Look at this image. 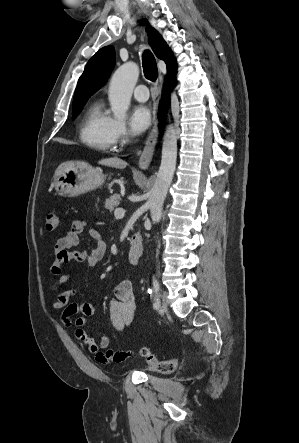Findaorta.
<instances>
[{"label": "aorta", "instance_id": "obj_1", "mask_svg": "<svg viewBox=\"0 0 299 443\" xmlns=\"http://www.w3.org/2000/svg\"><path fill=\"white\" fill-rule=\"evenodd\" d=\"M138 77L139 67L134 62L123 64L113 74L109 84L108 97L115 118L124 119L126 117ZM176 159L177 135L175 127L170 124L164 134L161 164L147 202L154 224L161 220L163 203L176 168Z\"/></svg>", "mask_w": 299, "mask_h": 443}]
</instances>
